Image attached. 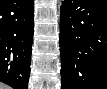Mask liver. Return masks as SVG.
<instances>
[{"label":"liver","mask_w":107,"mask_h":89,"mask_svg":"<svg viewBox=\"0 0 107 89\" xmlns=\"http://www.w3.org/2000/svg\"><path fill=\"white\" fill-rule=\"evenodd\" d=\"M1 89H9V87L5 85H1Z\"/></svg>","instance_id":"1"}]
</instances>
